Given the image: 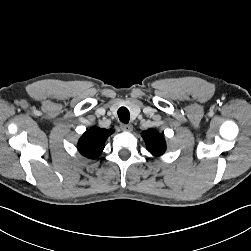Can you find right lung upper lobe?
<instances>
[{
    "instance_id": "right-lung-upper-lobe-1",
    "label": "right lung upper lobe",
    "mask_w": 251,
    "mask_h": 251,
    "mask_svg": "<svg viewBox=\"0 0 251 251\" xmlns=\"http://www.w3.org/2000/svg\"><path fill=\"white\" fill-rule=\"evenodd\" d=\"M112 133H114L112 129L94 126L82 135L77 148L83 156L95 159L102 153L105 141Z\"/></svg>"
}]
</instances>
